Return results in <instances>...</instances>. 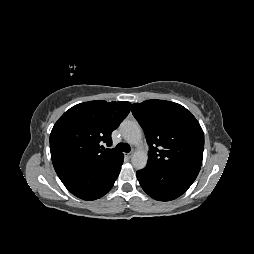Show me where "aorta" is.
<instances>
[{"label": "aorta", "instance_id": "aorta-1", "mask_svg": "<svg viewBox=\"0 0 254 254\" xmlns=\"http://www.w3.org/2000/svg\"><path fill=\"white\" fill-rule=\"evenodd\" d=\"M120 130L125 141L131 145L139 147L142 141V132L136 121L124 120L120 125ZM147 154L138 148L132 155L131 162L135 169L140 170L147 165Z\"/></svg>", "mask_w": 254, "mask_h": 254}]
</instances>
